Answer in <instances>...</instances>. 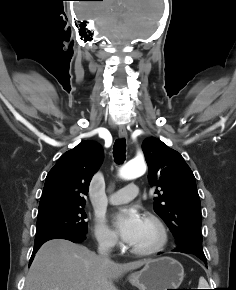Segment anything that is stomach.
Instances as JSON below:
<instances>
[{
	"mask_svg": "<svg viewBox=\"0 0 236 290\" xmlns=\"http://www.w3.org/2000/svg\"><path fill=\"white\" fill-rule=\"evenodd\" d=\"M184 279V268L171 257L149 260L143 269L129 275V282L139 290L178 289Z\"/></svg>",
	"mask_w": 236,
	"mask_h": 290,
	"instance_id": "1",
	"label": "stomach"
}]
</instances>
